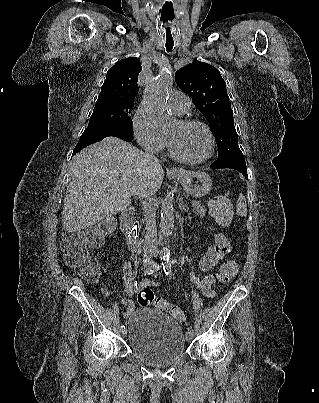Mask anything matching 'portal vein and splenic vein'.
<instances>
[{"mask_svg":"<svg viewBox=\"0 0 319 403\" xmlns=\"http://www.w3.org/2000/svg\"><path fill=\"white\" fill-rule=\"evenodd\" d=\"M197 203H198L197 201H193V202H191V205L194 206V205H196Z\"/></svg>","mask_w":319,"mask_h":403,"instance_id":"portal-vein-and-splenic-vein-1","label":"portal vein and splenic vein"}]
</instances>
